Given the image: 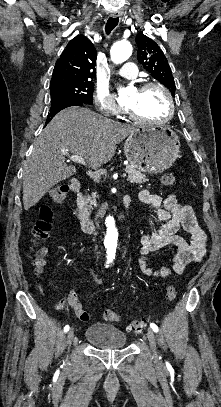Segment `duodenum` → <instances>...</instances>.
I'll use <instances>...</instances> for the list:
<instances>
[{
    "mask_svg": "<svg viewBox=\"0 0 221 407\" xmlns=\"http://www.w3.org/2000/svg\"><path fill=\"white\" fill-rule=\"evenodd\" d=\"M70 188L75 194L76 207L74 209L75 217L80 221L86 232H91L96 228V224L92 220L89 212L84 208V198L82 196V185L78 182H73L70 184ZM124 208L128 210L130 198L125 195L122 199Z\"/></svg>",
    "mask_w": 221,
    "mask_h": 407,
    "instance_id": "410a0bca",
    "label": "duodenum"
}]
</instances>
